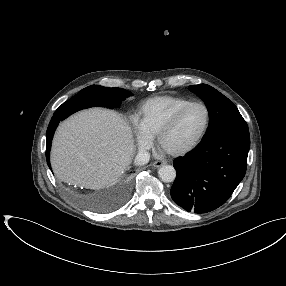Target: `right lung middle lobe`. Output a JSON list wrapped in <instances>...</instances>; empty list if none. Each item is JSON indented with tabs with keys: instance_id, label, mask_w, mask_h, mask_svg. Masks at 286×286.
Here are the masks:
<instances>
[{
	"instance_id": "1",
	"label": "right lung middle lobe",
	"mask_w": 286,
	"mask_h": 286,
	"mask_svg": "<svg viewBox=\"0 0 286 286\" xmlns=\"http://www.w3.org/2000/svg\"><path fill=\"white\" fill-rule=\"evenodd\" d=\"M130 95V92L122 88H106L99 85H91L60 105L54 115L63 120L72 113L84 108L93 106L117 108Z\"/></svg>"
}]
</instances>
